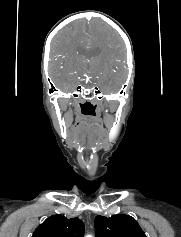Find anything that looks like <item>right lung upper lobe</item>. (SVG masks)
<instances>
[{"label": "right lung upper lobe", "mask_w": 181, "mask_h": 237, "mask_svg": "<svg viewBox=\"0 0 181 237\" xmlns=\"http://www.w3.org/2000/svg\"><path fill=\"white\" fill-rule=\"evenodd\" d=\"M84 225L78 218L67 219L63 215L48 217L34 231L32 237H83Z\"/></svg>", "instance_id": "cb5924a9"}]
</instances>
